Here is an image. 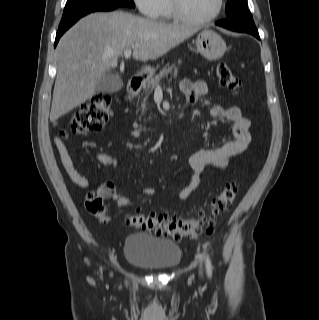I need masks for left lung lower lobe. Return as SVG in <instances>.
<instances>
[{"label":"left lung lower lobe","instance_id":"left-lung-lower-lobe-1","mask_svg":"<svg viewBox=\"0 0 319 320\" xmlns=\"http://www.w3.org/2000/svg\"><path fill=\"white\" fill-rule=\"evenodd\" d=\"M216 25L227 28L236 32H245L254 35L256 38L260 39L258 31L255 27L254 22H249L239 19H226L216 22Z\"/></svg>","mask_w":319,"mask_h":320}]
</instances>
